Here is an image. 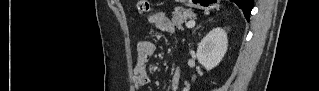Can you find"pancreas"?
I'll list each match as a JSON object with an SVG mask.
<instances>
[{"label":"pancreas","instance_id":"pancreas-1","mask_svg":"<svg viewBox=\"0 0 319 91\" xmlns=\"http://www.w3.org/2000/svg\"><path fill=\"white\" fill-rule=\"evenodd\" d=\"M194 17L195 14L191 10L177 8L172 14V22L179 30H183V23L188 19H193Z\"/></svg>","mask_w":319,"mask_h":91}]
</instances>
